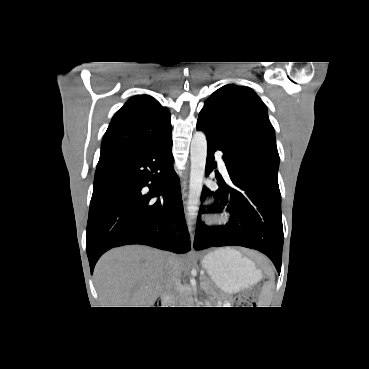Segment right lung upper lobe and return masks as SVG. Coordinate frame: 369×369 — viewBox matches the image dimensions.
<instances>
[{"instance_id":"1","label":"right lung upper lobe","mask_w":369,"mask_h":369,"mask_svg":"<svg viewBox=\"0 0 369 369\" xmlns=\"http://www.w3.org/2000/svg\"><path fill=\"white\" fill-rule=\"evenodd\" d=\"M172 132L167 108L149 95L129 99L114 115L103 137L98 164L124 152L163 140Z\"/></svg>"}]
</instances>
